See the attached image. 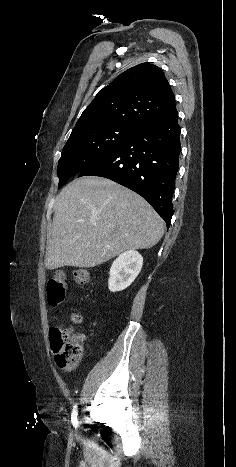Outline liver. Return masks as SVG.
<instances>
[{
  "mask_svg": "<svg viewBox=\"0 0 236 467\" xmlns=\"http://www.w3.org/2000/svg\"><path fill=\"white\" fill-rule=\"evenodd\" d=\"M163 234L164 221L140 195L102 177L75 179L56 198L45 266L95 267Z\"/></svg>",
  "mask_w": 236,
  "mask_h": 467,
  "instance_id": "1",
  "label": "liver"
}]
</instances>
